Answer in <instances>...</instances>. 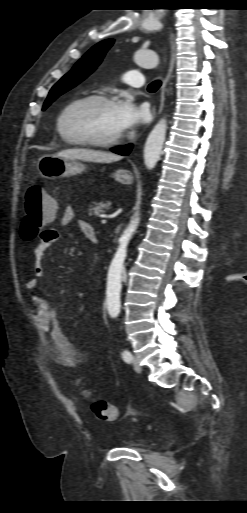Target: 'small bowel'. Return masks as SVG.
I'll return each instance as SVG.
<instances>
[{
    "label": "small bowel",
    "mask_w": 247,
    "mask_h": 513,
    "mask_svg": "<svg viewBox=\"0 0 247 513\" xmlns=\"http://www.w3.org/2000/svg\"><path fill=\"white\" fill-rule=\"evenodd\" d=\"M76 223L77 227L87 238L94 233L93 227L84 220L76 219L73 207H66L60 218L61 226ZM60 239V232L51 227L44 228L38 237V245L34 249L33 276L25 282L26 290L32 292L39 287L40 278L45 274L44 255L46 250ZM31 302L35 318L42 330L48 335L50 342L47 347L50 358L58 365L69 368H80L89 357L86 350L75 347L65 334L59 320L57 309L44 297L32 295Z\"/></svg>",
    "instance_id": "small-bowel-1"
}]
</instances>
